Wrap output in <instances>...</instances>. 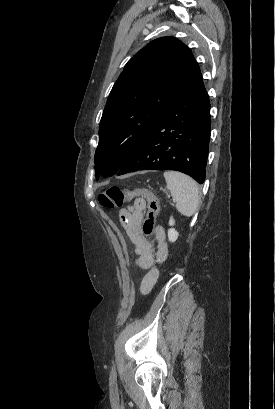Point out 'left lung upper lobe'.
Returning a JSON list of instances; mask_svg holds the SVG:
<instances>
[{
    "mask_svg": "<svg viewBox=\"0 0 275 409\" xmlns=\"http://www.w3.org/2000/svg\"><path fill=\"white\" fill-rule=\"evenodd\" d=\"M203 82L190 49L161 37L125 65L108 97L95 153L96 177L112 176L125 164L159 118Z\"/></svg>",
    "mask_w": 275,
    "mask_h": 409,
    "instance_id": "left-lung-upper-lobe-1",
    "label": "left lung upper lobe"
}]
</instances>
